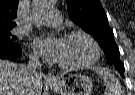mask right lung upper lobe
<instances>
[{
    "mask_svg": "<svg viewBox=\"0 0 135 95\" xmlns=\"http://www.w3.org/2000/svg\"><path fill=\"white\" fill-rule=\"evenodd\" d=\"M18 0H0V30H11L16 26L12 19L17 16Z\"/></svg>",
    "mask_w": 135,
    "mask_h": 95,
    "instance_id": "obj_1",
    "label": "right lung upper lobe"
}]
</instances>
